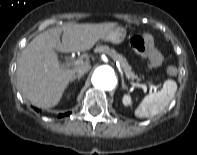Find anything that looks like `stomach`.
Here are the masks:
<instances>
[{
  "label": "stomach",
  "mask_w": 197,
  "mask_h": 155,
  "mask_svg": "<svg viewBox=\"0 0 197 155\" xmlns=\"http://www.w3.org/2000/svg\"><path fill=\"white\" fill-rule=\"evenodd\" d=\"M127 31L124 27L116 26L109 30L101 39L114 44L121 43L126 37Z\"/></svg>",
  "instance_id": "1"
}]
</instances>
